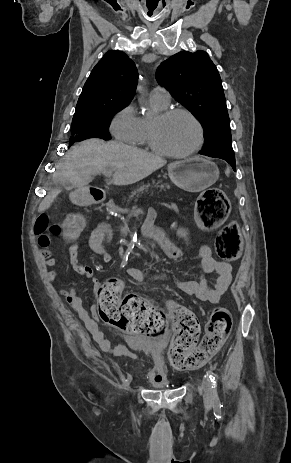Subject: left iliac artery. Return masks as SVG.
<instances>
[{
	"instance_id": "obj_1",
	"label": "left iliac artery",
	"mask_w": 291,
	"mask_h": 463,
	"mask_svg": "<svg viewBox=\"0 0 291 463\" xmlns=\"http://www.w3.org/2000/svg\"><path fill=\"white\" fill-rule=\"evenodd\" d=\"M207 376L209 377L211 383H212V388H213V395H214V401L216 404H220L219 397H218V392H217V375L211 371H207Z\"/></svg>"
}]
</instances>
